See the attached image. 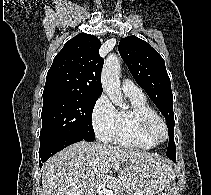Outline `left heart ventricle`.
<instances>
[{
	"label": "left heart ventricle",
	"instance_id": "1",
	"mask_svg": "<svg viewBox=\"0 0 211 195\" xmlns=\"http://www.w3.org/2000/svg\"><path fill=\"white\" fill-rule=\"evenodd\" d=\"M152 134L156 140H161L164 137V130L160 124L154 125Z\"/></svg>",
	"mask_w": 211,
	"mask_h": 195
}]
</instances>
